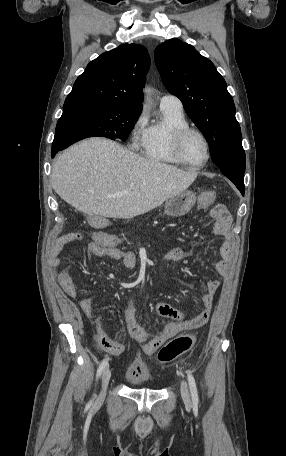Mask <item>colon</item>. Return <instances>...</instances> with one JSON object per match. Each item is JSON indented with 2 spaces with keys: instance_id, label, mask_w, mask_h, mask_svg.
I'll return each mask as SVG.
<instances>
[{
  "instance_id": "obj_1",
  "label": "colon",
  "mask_w": 286,
  "mask_h": 456,
  "mask_svg": "<svg viewBox=\"0 0 286 456\" xmlns=\"http://www.w3.org/2000/svg\"><path fill=\"white\" fill-rule=\"evenodd\" d=\"M216 194L212 191L204 192L199 198V203L202 206H208L214 202ZM72 237L78 239L79 233H73ZM196 343V339L192 335H182L171 340L166 346L158 352V360L162 363H169L177 357L190 351Z\"/></svg>"
}]
</instances>
